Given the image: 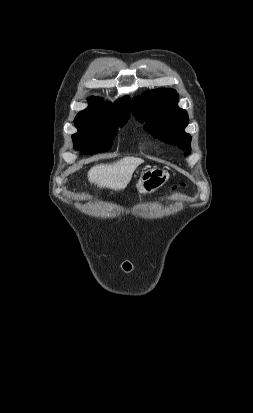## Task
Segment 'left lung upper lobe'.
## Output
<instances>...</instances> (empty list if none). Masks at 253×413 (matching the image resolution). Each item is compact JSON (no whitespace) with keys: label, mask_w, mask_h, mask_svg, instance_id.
I'll list each match as a JSON object with an SVG mask.
<instances>
[{"label":"left lung upper lobe","mask_w":253,"mask_h":413,"mask_svg":"<svg viewBox=\"0 0 253 413\" xmlns=\"http://www.w3.org/2000/svg\"><path fill=\"white\" fill-rule=\"evenodd\" d=\"M178 99L175 90L159 88L147 92L142 98H134L131 108L140 122L145 121L146 131L178 145L188 155L191 151V136L184 131L189 123L188 114L177 106Z\"/></svg>","instance_id":"1"}]
</instances>
